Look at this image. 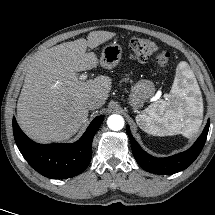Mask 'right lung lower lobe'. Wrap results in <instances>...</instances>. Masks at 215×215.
<instances>
[{
  "mask_svg": "<svg viewBox=\"0 0 215 215\" xmlns=\"http://www.w3.org/2000/svg\"><path fill=\"white\" fill-rule=\"evenodd\" d=\"M104 116H97L83 136L72 144H38L29 139L13 119L16 144L26 161L37 172L52 179L71 178L83 172L92 156V140Z\"/></svg>",
  "mask_w": 215,
  "mask_h": 215,
  "instance_id": "right-lung-lower-lobe-1",
  "label": "right lung lower lobe"
}]
</instances>
